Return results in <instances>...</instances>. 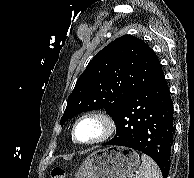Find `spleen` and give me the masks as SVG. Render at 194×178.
I'll return each instance as SVG.
<instances>
[{
  "label": "spleen",
  "instance_id": "3e777b00",
  "mask_svg": "<svg viewBox=\"0 0 194 178\" xmlns=\"http://www.w3.org/2000/svg\"><path fill=\"white\" fill-rule=\"evenodd\" d=\"M142 164L135 178H162L158 165L147 155H141Z\"/></svg>",
  "mask_w": 194,
  "mask_h": 178
}]
</instances>
